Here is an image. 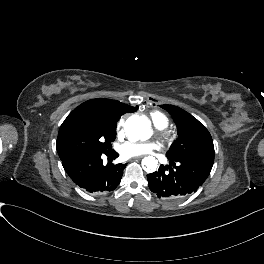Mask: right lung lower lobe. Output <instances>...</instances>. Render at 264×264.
<instances>
[{
	"label": "right lung lower lobe",
	"instance_id": "98d812e1",
	"mask_svg": "<svg viewBox=\"0 0 264 264\" xmlns=\"http://www.w3.org/2000/svg\"><path fill=\"white\" fill-rule=\"evenodd\" d=\"M125 167L126 164H109L76 184L89 193L111 192L120 184Z\"/></svg>",
	"mask_w": 264,
	"mask_h": 264
}]
</instances>
